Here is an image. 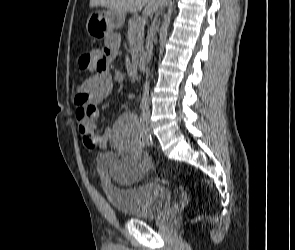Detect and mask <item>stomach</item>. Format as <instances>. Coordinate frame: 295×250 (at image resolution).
<instances>
[{
  "instance_id": "0dacf381",
  "label": "stomach",
  "mask_w": 295,
  "mask_h": 250,
  "mask_svg": "<svg viewBox=\"0 0 295 250\" xmlns=\"http://www.w3.org/2000/svg\"><path fill=\"white\" fill-rule=\"evenodd\" d=\"M125 22V13L111 9L96 10L91 15L86 24L89 35L94 36V40H105L114 29L120 28Z\"/></svg>"
}]
</instances>
